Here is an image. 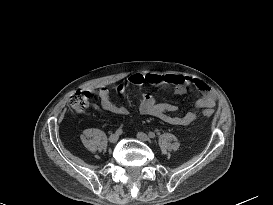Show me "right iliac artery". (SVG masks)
<instances>
[{"label":"right iliac artery","instance_id":"82829eb1","mask_svg":"<svg viewBox=\"0 0 273 205\" xmlns=\"http://www.w3.org/2000/svg\"><path fill=\"white\" fill-rule=\"evenodd\" d=\"M122 132H123V130H122L121 127L116 130V133L119 134V135L122 134Z\"/></svg>","mask_w":273,"mask_h":205}]
</instances>
